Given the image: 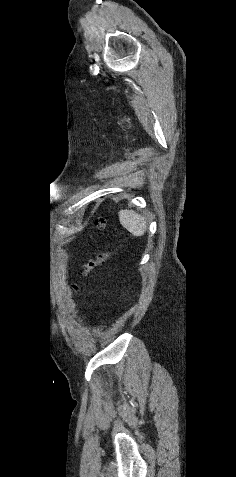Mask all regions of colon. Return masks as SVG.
Wrapping results in <instances>:
<instances>
[{
	"mask_svg": "<svg viewBox=\"0 0 236 477\" xmlns=\"http://www.w3.org/2000/svg\"><path fill=\"white\" fill-rule=\"evenodd\" d=\"M104 222L102 220H99L97 222V226L100 227V228H103L104 227ZM107 259V256L104 255V254H101V255H98L95 259H92L90 261H88L85 265H84V268H83V272L85 274H87L88 272H90L92 269H94L95 267L99 266L100 264H102L105 260ZM79 289V285L78 283H74L72 284L71 286V290L73 292H76L77 290Z\"/></svg>",
	"mask_w": 236,
	"mask_h": 477,
	"instance_id": "5ec220e1",
	"label": "colon"
}]
</instances>
